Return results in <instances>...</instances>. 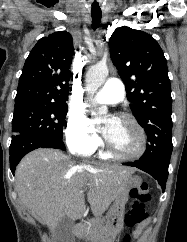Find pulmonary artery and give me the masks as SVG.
<instances>
[{
	"label": "pulmonary artery",
	"mask_w": 187,
	"mask_h": 242,
	"mask_svg": "<svg viewBox=\"0 0 187 242\" xmlns=\"http://www.w3.org/2000/svg\"><path fill=\"white\" fill-rule=\"evenodd\" d=\"M124 98L123 83L116 78H110L94 96V101L99 104H116Z\"/></svg>",
	"instance_id": "1"
}]
</instances>
